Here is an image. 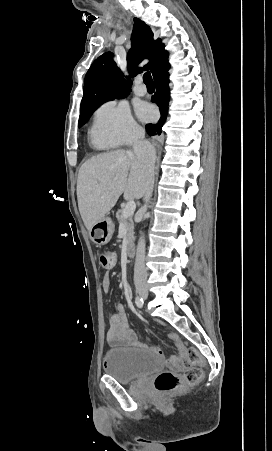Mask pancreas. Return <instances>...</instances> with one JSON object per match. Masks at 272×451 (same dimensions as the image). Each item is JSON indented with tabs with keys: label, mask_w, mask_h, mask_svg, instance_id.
<instances>
[{
	"label": "pancreas",
	"mask_w": 272,
	"mask_h": 451,
	"mask_svg": "<svg viewBox=\"0 0 272 451\" xmlns=\"http://www.w3.org/2000/svg\"><path fill=\"white\" fill-rule=\"evenodd\" d=\"M123 210H118L116 214V218L119 224H123L126 227L127 231V239L128 243H133L134 241V222L132 220V216H128V218H122Z\"/></svg>",
	"instance_id": "cf45deb5"
}]
</instances>
